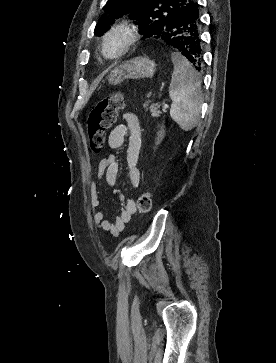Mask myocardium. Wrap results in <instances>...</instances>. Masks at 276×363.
Masks as SVG:
<instances>
[{"label":"myocardium","instance_id":"myocardium-1","mask_svg":"<svg viewBox=\"0 0 276 363\" xmlns=\"http://www.w3.org/2000/svg\"><path fill=\"white\" fill-rule=\"evenodd\" d=\"M119 36L122 38L120 49L113 54L108 53L107 43L113 38ZM140 33L135 24L130 21H120L114 24L102 37V54L106 59L116 60L125 55L139 40Z\"/></svg>","mask_w":276,"mask_h":363}]
</instances>
